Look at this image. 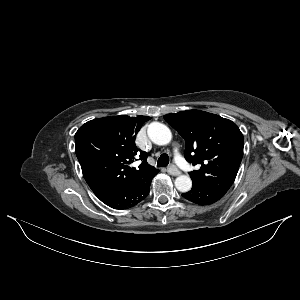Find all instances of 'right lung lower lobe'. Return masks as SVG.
Returning a JSON list of instances; mask_svg holds the SVG:
<instances>
[{"label": "right lung lower lobe", "instance_id": "1", "mask_svg": "<svg viewBox=\"0 0 300 300\" xmlns=\"http://www.w3.org/2000/svg\"><path fill=\"white\" fill-rule=\"evenodd\" d=\"M154 176L140 183L127 184L109 193L97 195L106 205L114 209H127L143 201L148 193L149 187Z\"/></svg>", "mask_w": 300, "mask_h": 300}]
</instances>
